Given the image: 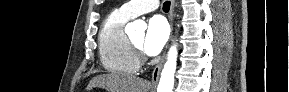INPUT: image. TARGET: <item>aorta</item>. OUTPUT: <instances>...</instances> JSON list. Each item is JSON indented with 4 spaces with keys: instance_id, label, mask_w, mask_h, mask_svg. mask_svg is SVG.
<instances>
[{
    "instance_id": "obj_1",
    "label": "aorta",
    "mask_w": 289,
    "mask_h": 92,
    "mask_svg": "<svg viewBox=\"0 0 289 92\" xmlns=\"http://www.w3.org/2000/svg\"><path fill=\"white\" fill-rule=\"evenodd\" d=\"M135 28L145 29L146 23L141 20H136L134 22L129 23L126 27V29L130 31L134 30ZM177 56H178L177 46L176 44H174L168 51L167 62L164 68L162 69L157 92H173L174 75L177 65Z\"/></svg>"
}]
</instances>
